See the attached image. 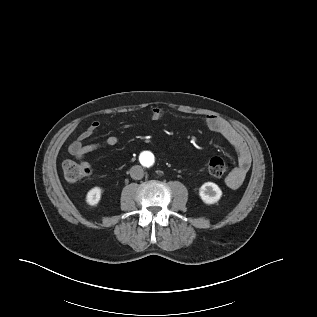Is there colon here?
<instances>
[{"mask_svg": "<svg viewBox=\"0 0 317 317\" xmlns=\"http://www.w3.org/2000/svg\"><path fill=\"white\" fill-rule=\"evenodd\" d=\"M62 169L69 182H78L90 173L89 167L71 160L64 161ZM206 170L211 177L219 178L228 172L229 163L223 158L213 157L206 163Z\"/></svg>", "mask_w": 317, "mask_h": 317, "instance_id": "obj_1", "label": "colon"}]
</instances>
